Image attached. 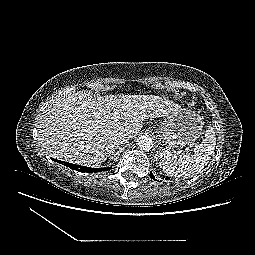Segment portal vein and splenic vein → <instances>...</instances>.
<instances>
[{"label":"portal vein and splenic vein","instance_id":"portal-vein-and-splenic-vein-1","mask_svg":"<svg viewBox=\"0 0 255 255\" xmlns=\"http://www.w3.org/2000/svg\"><path fill=\"white\" fill-rule=\"evenodd\" d=\"M114 118H115V120H118V119L120 118V115H119V113H118V112H115V114H114Z\"/></svg>","mask_w":255,"mask_h":255}]
</instances>
